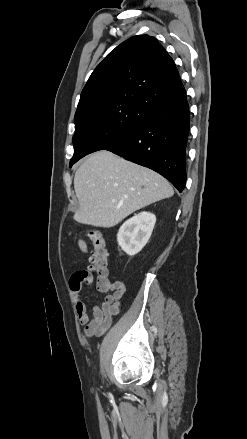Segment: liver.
<instances>
[{
    "mask_svg": "<svg viewBox=\"0 0 247 439\" xmlns=\"http://www.w3.org/2000/svg\"><path fill=\"white\" fill-rule=\"evenodd\" d=\"M74 189L79 201L75 219L104 228L174 194L160 174L106 150L92 154L77 169Z\"/></svg>",
    "mask_w": 247,
    "mask_h": 439,
    "instance_id": "6515ba94",
    "label": "liver"
}]
</instances>
